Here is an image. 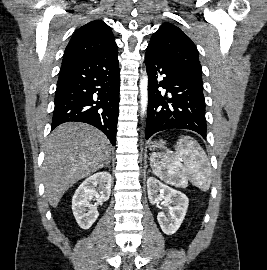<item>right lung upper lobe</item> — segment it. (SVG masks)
Masks as SVG:
<instances>
[{
	"instance_id": "1",
	"label": "right lung upper lobe",
	"mask_w": 267,
	"mask_h": 270,
	"mask_svg": "<svg viewBox=\"0 0 267 270\" xmlns=\"http://www.w3.org/2000/svg\"><path fill=\"white\" fill-rule=\"evenodd\" d=\"M113 48H117V45L110 27L103 21L94 20L74 33L65 49L62 65L80 61Z\"/></svg>"
}]
</instances>
